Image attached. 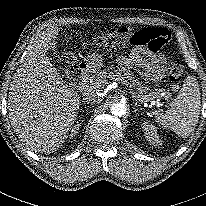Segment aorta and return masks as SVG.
<instances>
[{
	"label": "aorta",
	"instance_id": "obj_1",
	"mask_svg": "<svg viewBox=\"0 0 206 206\" xmlns=\"http://www.w3.org/2000/svg\"><path fill=\"white\" fill-rule=\"evenodd\" d=\"M126 105L124 103L118 102L111 106L110 111L113 115L121 117L126 114Z\"/></svg>",
	"mask_w": 206,
	"mask_h": 206
}]
</instances>
